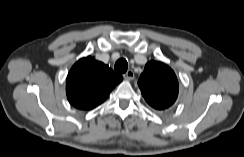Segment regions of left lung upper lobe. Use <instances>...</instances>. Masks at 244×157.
I'll use <instances>...</instances> for the list:
<instances>
[{"instance_id":"1","label":"left lung upper lobe","mask_w":244,"mask_h":157,"mask_svg":"<svg viewBox=\"0 0 244 157\" xmlns=\"http://www.w3.org/2000/svg\"><path fill=\"white\" fill-rule=\"evenodd\" d=\"M138 85L146 102L157 110L170 107L178 96L177 77L169 66L161 62H148Z\"/></svg>"}]
</instances>
